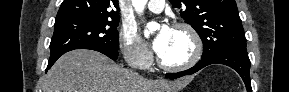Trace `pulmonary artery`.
<instances>
[{
	"label": "pulmonary artery",
	"instance_id": "1",
	"mask_svg": "<svg viewBox=\"0 0 289 92\" xmlns=\"http://www.w3.org/2000/svg\"><path fill=\"white\" fill-rule=\"evenodd\" d=\"M165 7V1L164 0H150L147 3V8L154 13H160L163 11Z\"/></svg>",
	"mask_w": 289,
	"mask_h": 92
}]
</instances>
